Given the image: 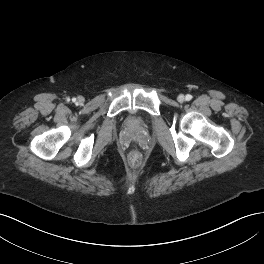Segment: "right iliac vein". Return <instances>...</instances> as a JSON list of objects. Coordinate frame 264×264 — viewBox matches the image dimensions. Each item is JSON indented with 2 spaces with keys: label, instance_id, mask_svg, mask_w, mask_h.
<instances>
[{
  "label": "right iliac vein",
  "instance_id": "obj_1",
  "mask_svg": "<svg viewBox=\"0 0 264 264\" xmlns=\"http://www.w3.org/2000/svg\"><path fill=\"white\" fill-rule=\"evenodd\" d=\"M78 103H83L84 102V98L82 96H79L77 99Z\"/></svg>",
  "mask_w": 264,
  "mask_h": 264
}]
</instances>
